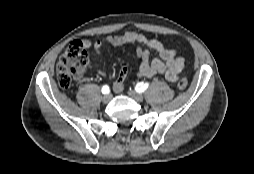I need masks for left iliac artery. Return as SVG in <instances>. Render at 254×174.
Instances as JSON below:
<instances>
[{
	"instance_id": "1",
	"label": "left iliac artery",
	"mask_w": 254,
	"mask_h": 174,
	"mask_svg": "<svg viewBox=\"0 0 254 174\" xmlns=\"http://www.w3.org/2000/svg\"><path fill=\"white\" fill-rule=\"evenodd\" d=\"M148 86H149V83L140 82V83H137L135 90L139 93H142L148 88Z\"/></svg>"
}]
</instances>
